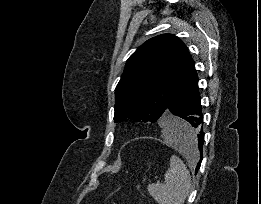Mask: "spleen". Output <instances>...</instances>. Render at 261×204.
Wrapping results in <instances>:
<instances>
[{"label": "spleen", "mask_w": 261, "mask_h": 204, "mask_svg": "<svg viewBox=\"0 0 261 204\" xmlns=\"http://www.w3.org/2000/svg\"><path fill=\"white\" fill-rule=\"evenodd\" d=\"M173 121H180L179 118L171 117ZM182 122V121H181ZM165 143L184 153H188L191 147L197 154L196 139L190 141H180L171 135L167 128L162 131ZM191 187L190 173L183 161L173 155L170 158V168L165 173L164 184L148 185V192L159 204H183L189 194Z\"/></svg>", "instance_id": "spleen-1"}]
</instances>
